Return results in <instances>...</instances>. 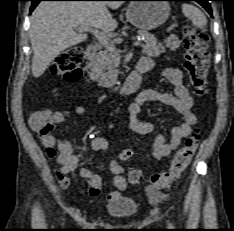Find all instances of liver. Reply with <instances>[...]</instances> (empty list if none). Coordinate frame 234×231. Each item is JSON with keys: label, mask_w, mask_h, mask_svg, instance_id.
<instances>
[{"label": "liver", "mask_w": 234, "mask_h": 231, "mask_svg": "<svg viewBox=\"0 0 234 231\" xmlns=\"http://www.w3.org/2000/svg\"><path fill=\"white\" fill-rule=\"evenodd\" d=\"M121 5V1L41 2L32 13L29 33L33 76L40 77L59 54L87 39L81 27L114 31L117 21L108 7L115 10Z\"/></svg>", "instance_id": "obj_1"}]
</instances>
